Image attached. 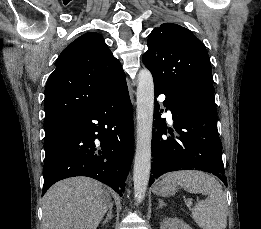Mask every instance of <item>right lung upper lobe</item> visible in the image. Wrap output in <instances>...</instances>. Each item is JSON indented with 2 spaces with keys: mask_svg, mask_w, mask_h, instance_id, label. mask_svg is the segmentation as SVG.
Segmentation results:
<instances>
[{
  "mask_svg": "<svg viewBox=\"0 0 261 229\" xmlns=\"http://www.w3.org/2000/svg\"><path fill=\"white\" fill-rule=\"evenodd\" d=\"M126 83L120 62L103 37L83 34L59 55L44 100V129L58 130L82 116Z\"/></svg>",
  "mask_w": 261,
  "mask_h": 229,
  "instance_id": "obj_1",
  "label": "right lung upper lobe"
}]
</instances>
